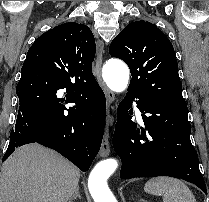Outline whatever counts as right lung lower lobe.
<instances>
[{"label": "right lung lower lobe", "mask_w": 209, "mask_h": 202, "mask_svg": "<svg viewBox=\"0 0 209 202\" xmlns=\"http://www.w3.org/2000/svg\"><path fill=\"white\" fill-rule=\"evenodd\" d=\"M67 89L66 107L56 91ZM19 110L10 133L5 161L15 147L37 142L54 149L86 172L97 155L104 133L105 95L98 85L77 89L46 73L22 75L17 84ZM63 102V101H62Z\"/></svg>", "instance_id": "1"}]
</instances>
